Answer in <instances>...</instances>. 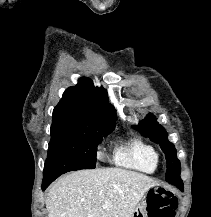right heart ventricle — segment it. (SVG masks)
I'll list each match as a JSON object with an SVG mask.
<instances>
[{"label": "right heart ventricle", "instance_id": "e07e8e85", "mask_svg": "<svg viewBox=\"0 0 211 217\" xmlns=\"http://www.w3.org/2000/svg\"><path fill=\"white\" fill-rule=\"evenodd\" d=\"M113 159L119 166L148 174L156 171L159 162L155 148L139 138L116 148Z\"/></svg>", "mask_w": 211, "mask_h": 217}]
</instances>
